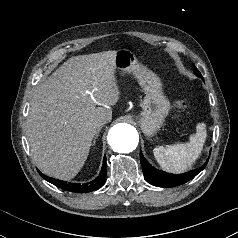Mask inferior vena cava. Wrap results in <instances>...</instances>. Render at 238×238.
Returning <instances> with one entry per match:
<instances>
[{"label": "inferior vena cava", "mask_w": 238, "mask_h": 238, "mask_svg": "<svg viewBox=\"0 0 238 238\" xmlns=\"http://www.w3.org/2000/svg\"><path fill=\"white\" fill-rule=\"evenodd\" d=\"M106 123H107V121L103 119V120H99L96 125L98 128H100L101 126H103Z\"/></svg>", "instance_id": "1"}]
</instances>
